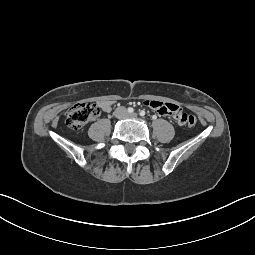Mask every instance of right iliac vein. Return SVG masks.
<instances>
[{
	"mask_svg": "<svg viewBox=\"0 0 255 255\" xmlns=\"http://www.w3.org/2000/svg\"><path fill=\"white\" fill-rule=\"evenodd\" d=\"M125 114H126V111H125V109L122 108V107L116 109L115 112H114V115H115V117H117V118H122V117L125 116Z\"/></svg>",
	"mask_w": 255,
	"mask_h": 255,
	"instance_id": "63e3f726",
	"label": "right iliac vein"
}]
</instances>
